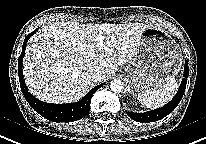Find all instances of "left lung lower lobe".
Returning <instances> with one entry per match:
<instances>
[{
	"label": "left lung lower lobe",
	"instance_id": "1",
	"mask_svg": "<svg viewBox=\"0 0 206 144\" xmlns=\"http://www.w3.org/2000/svg\"><path fill=\"white\" fill-rule=\"evenodd\" d=\"M188 63L186 61L185 63V71H184V78L182 80V83L180 85V88L177 92V94L175 95V97L166 105H164L161 108L155 109V110H151L145 113H133V112H127V115L133 119L134 121L137 122H154L157 120H160L164 117H166L167 115H169L179 104L180 100L183 97V94L185 92V88H186V83H187V78H188Z\"/></svg>",
	"mask_w": 206,
	"mask_h": 144
}]
</instances>
